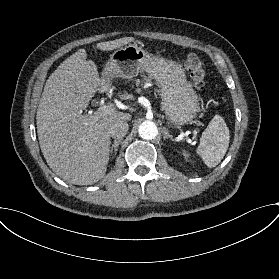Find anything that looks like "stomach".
<instances>
[{
  "label": "stomach",
  "mask_w": 279,
  "mask_h": 279,
  "mask_svg": "<svg viewBox=\"0 0 279 279\" xmlns=\"http://www.w3.org/2000/svg\"><path fill=\"white\" fill-rule=\"evenodd\" d=\"M106 66L116 70L118 77L133 79L144 71L154 79L169 127L181 128L200 112L198 96L187 80L185 68L172 58L131 44L114 51Z\"/></svg>",
  "instance_id": "obj_1"
}]
</instances>
